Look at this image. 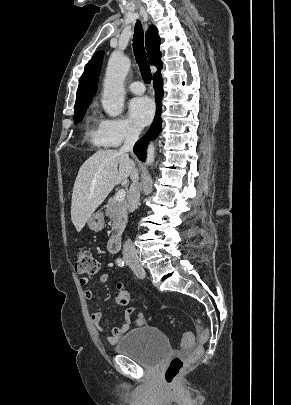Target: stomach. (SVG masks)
Masks as SVG:
<instances>
[{"label":"stomach","instance_id":"1","mask_svg":"<svg viewBox=\"0 0 291 405\" xmlns=\"http://www.w3.org/2000/svg\"><path fill=\"white\" fill-rule=\"evenodd\" d=\"M88 227L98 232L103 229L104 227V215L102 212H95L93 213L87 221Z\"/></svg>","mask_w":291,"mask_h":405}]
</instances>
